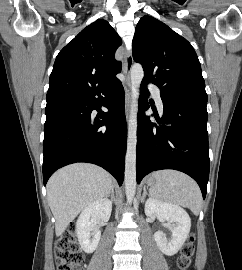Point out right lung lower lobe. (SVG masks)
Masks as SVG:
<instances>
[{"instance_id":"1","label":"right lung lower lobe","mask_w":242,"mask_h":270,"mask_svg":"<svg viewBox=\"0 0 242 270\" xmlns=\"http://www.w3.org/2000/svg\"><path fill=\"white\" fill-rule=\"evenodd\" d=\"M101 100L108 112L95 117L92 111L99 110ZM124 103V89L117 79L92 93L46 106L44 185L57 169L75 162L99 165L122 184L127 138Z\"/></svg>"}]
</instances>
